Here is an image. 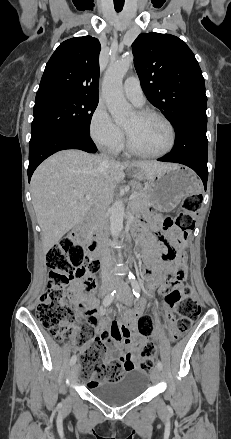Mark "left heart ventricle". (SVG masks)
Segmentation results:
<instances>
[{
	"label": "left heart ventricle",
	"mask_w": 231,
	"mask_h": 439,
	"mask_svg": "<svg viewBox=\"0 0 231 439\" xmlns=\"http://www.w3.org/2000/svg\"><path fill=\"white\" fill-rule=\"evenodd\" d=\"M134 147L145 153L164 150L170 142V132L166 124L157 117H140L133 114L124 124Z\"/></svg>",
	"instance_id": "obj_1"
}]
</instances>
